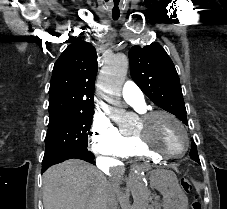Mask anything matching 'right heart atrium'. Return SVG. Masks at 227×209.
Wrapping results in <instances>:
<instances>
[{
    "label": "right heart atrium",
    "instance_id": "d8ad5b80",
    "mask_svg": "<svg viewBox=\"0 0 227 209\" xmlns=\"http://www.w3.org/2000/svg\"><path fill=\"white\" fill-rule=\"evenodd\" d=\"M92 151L99 157L115 159L122 156L127 145V137L108 119L98 117L92 126Z\"/></svg>",
    "mask_w": 227,
    "mask_h": 209
}]
</instances>
